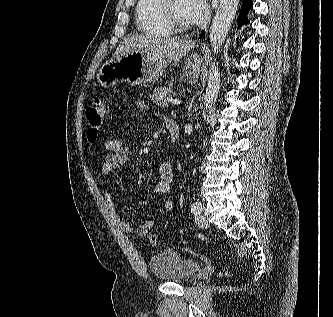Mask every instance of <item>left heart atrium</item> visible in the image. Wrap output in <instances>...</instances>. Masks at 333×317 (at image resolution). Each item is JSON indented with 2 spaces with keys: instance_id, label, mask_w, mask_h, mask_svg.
<instances>
[{
  "instance_id": "39dd6f15",
  "label": "left heart atrium",
  "mask_w": 333,
  "mask_h": 317,
  "mask_svg": "<svg viewBox=\"0 0 333 317\" xmlns=\"http://www.w3.org/2000/svg\"><path fill=\"white\" fill-rule=\"evenodd\" d=\"M188 10L193 24L203 23L209 14V8L206 0H187Z\"/></svg>"
}]
</instances>
